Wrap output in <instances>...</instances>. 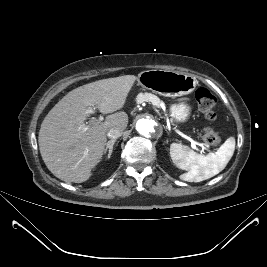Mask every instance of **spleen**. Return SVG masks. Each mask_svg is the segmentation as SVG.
I'll return each instance as SVG.
<instances>
[{"mask_svg":"<svg viewBox=\"0 0 267 267\" xmlns=\"http://www.w3.org/2000/svg\"><path fill=\"white\" fill-rule=\"evenodd\" d=\"M235 150V138L229 137L215 152L207 155L197 154L188 146L172 143L170 156L173 163L187 173L180 179L188 182H201L220 173L228 164Z\"/></svg>","mask_w":267,"mask_h":267,"instance_id":"3e777b00","label":"spleen"}]
</instances>
